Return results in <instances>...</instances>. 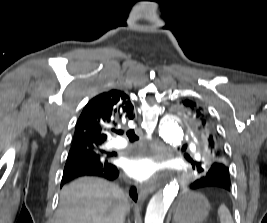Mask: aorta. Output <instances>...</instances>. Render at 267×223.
<instances>
[{
	"mask_svg": "<svg viewBox=\"0 0 267 223\" xmlns=\"http://www.w3.org/2000/svg\"><path fill=\"white\" fill-rule=\"evenodd\" d=\"M159 134L166 143L173 147L179 146L184 136L180 118L175 115L166 116L160 125ZM179 188L174 179L163 191L151 198L146 210L145 223H163L167 210L179 194Z\"/></svg>",
	"mask_w": 267,
	"mask_h": 223,
	"instance_id": "aorta-1",
	"label": "aorta"
}]
</instances>
